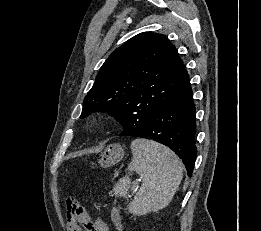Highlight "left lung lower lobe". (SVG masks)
Returning a JSON list of instances; mask_svg holds the SVG:
<instances>
[{"mask_svg": "<svg viewBox=\"0 0 261 231\" xmlns=\"http://www.w3.org/2000/svg\"><path fill=\"white\" fill-rule=\"evenodd\" d=\"M192 88L188 83L168 103L158 109L142 128L123 130L119 136L152 139L172 149L192 176L197 154L196 123Z\"/></svg>", "mask_w": 261, "mask_h": 231, "instance_id": "1", "label": "left lung lower lobe"}]
</instances>
